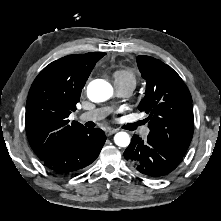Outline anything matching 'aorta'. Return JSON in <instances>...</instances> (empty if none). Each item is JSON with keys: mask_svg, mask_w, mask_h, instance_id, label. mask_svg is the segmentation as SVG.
I'll use <instances>...</instances> for the list:
<instances>
[{"mask_svg": "<svg viewBox=\"0 0 221 221\" xmlns=\"http://www.w3.org/2000/svg\"><path fill=\"white\" fill-rule=\"evenodd\" d=\"M112 95V86L102 79L91 81L87 87V96L92 102H104ZM114 142L117 146L127 147L130 144V137L126 132H118L114 136Z\"/></svg>", "mask_w": 221, "mask_h": 221, "instance_id": "1", "label": "aorta"}]
</instances>
